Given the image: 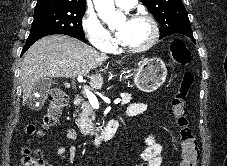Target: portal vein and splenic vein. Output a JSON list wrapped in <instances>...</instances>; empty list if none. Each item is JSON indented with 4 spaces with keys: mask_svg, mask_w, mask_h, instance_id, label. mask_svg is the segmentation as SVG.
Wrapping results in <instances>:
<instances>
[{
    "mask_svg": "<svg viewBox=\"0 0 227 166\" xmlns=\"http://www.w3.org/2000/svg\"><path fill=\"white\" fill-rule=\"evenodd\" d=\"M77 80H78L79 83H82L83 82V76L79 75ZM84 93L86 94L87 99H88L89 103L91 104V106L94 109H99V103H98L96 96L93 93H91L87 88H84ZM114 103L118 104V103H120V100H116Z\"/></svg>",
    "mask_w": 227,
    "mask_h": 166,
    "instance_id": "obj_1",
    "label": "portal vein and splenic vein"
}]
</instances>
